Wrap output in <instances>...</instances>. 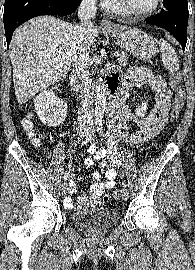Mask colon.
<instances>
[{
	"label": "colon",
	"mask_w": 195,
	"mask_h": 270,
	"mask_svg": "<svg viewBox=\"0 0 195 270\" xmlns=\"http://www.w3.org/2000/svg\"><path fill=\"white\" fill-rule=\"evenodd\" d=\"M181 82L182 78L179 72L173 71L169 73V84L175 93V99L170 114L171 121H176L179 118L184 106V93L181 87ZM23 126L30 134L32 133V122L29 119H26L23 122ZM113 197L116 200L119 199L120 192L118 190L114 191Z\"/></svg>",
	"instance_id": "colon-1"
}]
</instances>
